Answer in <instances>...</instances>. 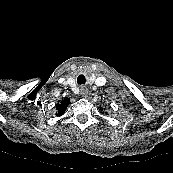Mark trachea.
Returning <instances> with one entry per match:
<instances>
[{
  "label": "trachea",
  "instance_id": "obj_1",
  "mask_svg": "<svg viewBox=\"0 0 173 173\" xmlns=\"http://www.w3.org/2000/svg\"><path fill=\"white\" fill-rule=\"evenodd\" d=\"M77 83L78 84H83V82H81V76L77 79Z\"/></svg>",
  "mask_w": 173,
  "mask_h": 173
}]
</instances>
